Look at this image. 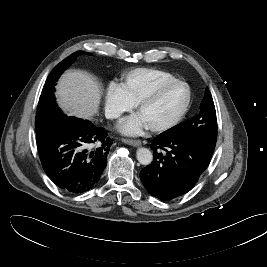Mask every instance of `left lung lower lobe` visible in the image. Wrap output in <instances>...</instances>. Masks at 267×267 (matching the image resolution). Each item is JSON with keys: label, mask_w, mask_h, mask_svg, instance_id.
I'll list each match as a JSON object with an SVG mask.
<instances>
[{"label": "left lung lower lobe", "mask_w": 267, "mask_h": 267, "mask_svg": "<svg viewBox=\"0 0 267 267\" xmlns=\"http://www.w3.org/2000/svg\"><path fill=\"white\" fill-rule=\"evenodd\" d=\"M153 162L141 170L147 191L169 201L191 190L210 163L214 150L192 137L160 134L153 140Z\"/></svg>", "instance_id": "left-lung-lower-lobe-1"}]
</instances>
